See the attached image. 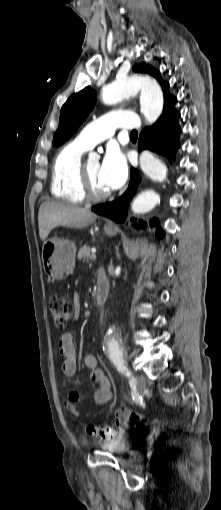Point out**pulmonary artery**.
<instances>
[{
	"instance_id": "pulmonary-artery-1",
	"label": "pulmonary artery",
	"mask_w": 221,
	"mask_h": 510,
	"mask_svg": "<svg viewBox=\"0 0 221 510\" xmlns=\"http://www.w3.org/2000/svg\"><path fill=\"white\" fill-rule=\"evenodd\" d=\"M141 127L133 112L114 111L107 113L86 125L76 136L75 141L87 149L111 137L117 128L136 130Z\"/></svg>"
}]
</instances>
